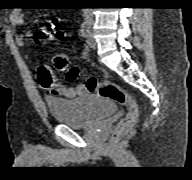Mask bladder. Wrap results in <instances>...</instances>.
I'll return each mask as SVG.
<instances>
[{"instance_id":"1","label":"bladder","mask_w":192,"mask_h":180,"mask_svg":"<svg viewBox=\"0 0 192 180\" xmlns=\"http://www.w3.org/2000/svg\"><path fill=\"white\" fill-rule=\"evenodd\" d=\"M47 106L53 120L73 128L88 127L116 112V105L99 96L75 99L48 98Z\"/></svg>"}]
</instances>
